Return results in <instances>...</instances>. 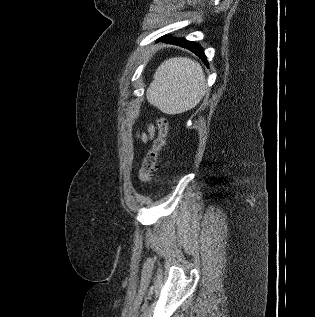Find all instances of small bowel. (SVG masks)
I'll use <instances>...</instances> for the list:
<instances>
[{
	"mask_svg": "<svg viewBox=\"0 0 315 317\" xmlns=\"http://www.w3.org/2000/svg\"><path fill=\"white\" fill-rule=\"evenodd\" d=\"M155 136V126L153 124H148L145 131H137L136 137L141 140L143 143H147L152 140Z\"/></svg>",
	"mask_w": 315,
	"mask_h": 317,
	"instance_id": "small-bowel-1",
	"label": "small bowel"
}]
</instances>
